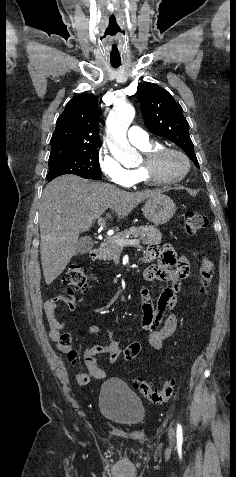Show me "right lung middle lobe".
Returning a JSON list of instances; mask_svg holds the SVG:
<instances>
[{"instance_id": "1", "label": "right lung middle lobe", "mask_w": 236, "mask_h": 477, "mask_svg": "<svg viewBox=\"0 0 236 477\" xmlns=\"http://www.w3.org/2000/svg\"><path fill=\"white\" fill-rule=\"evenodd\" d=\"M97 147L81 150L72 155L49 161L48 181L73 174L85 179L100 180V165Z\"/></svg>"}]
</instances>
